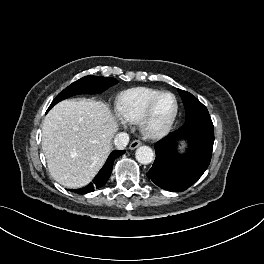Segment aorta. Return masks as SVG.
I'll return each mask as SVG.
<instances>
[{
	"instance_id": "obj_1",
	"label": "aorta",
	"mask_w": 264,
	"mask_h": 264,
	"mask_svg": "<svg viewBox=\"0 0 264 264\" xmlns=\"http://www.w3.org/2000/svg\"><path fill=\"white\" fill-rule=\"evenodd\" d=\"M135 157L139 163L149 164L154 158V153L149 146H140L135 152Z\"/></svg>"
}]
</instances>
